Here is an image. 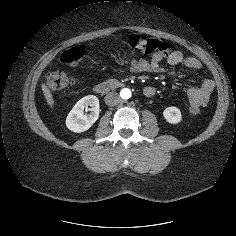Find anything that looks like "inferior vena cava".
Wrapping results in <instances>:
<instances>
[{
    "mask_svg": "<svg viewBox=\"0 0 236 236\" xmlns=\"http://www.w3.org/2000/svg\"><path fill=\"white\" fill-rule=\"evenodd\" d=\"M120 96L116 92H109L105 96V103L108 106H115L120 102Z\"/></svg>",
    "mask_w": 236,
    "mask_h": 236,
    "instance_id": "inferior-vena-cava-1",
    "label": "inferior vena cava"
}]
</instances>
